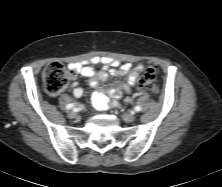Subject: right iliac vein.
Returning <instances> with one entry per match:
<instances>
[{
    "label": "right iliac vein",
    "instance_id": "right-iliac-vein-1",
    "mask_svg": "<svg viewBox=\"0 0 222 187\" xmlns=\"http://www.w3.org/2000/svg\"><path fill=\"white\" fill-rule=\"evenodd\" d=\"M67 116H68V118L72 119L77 116V113L74 110H72L67 113Z\"/></svg>",
    "mask_w": 222,
    "mask_h": 187
}]
</instances>
